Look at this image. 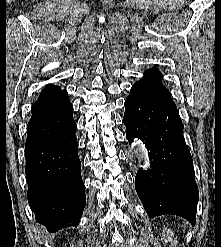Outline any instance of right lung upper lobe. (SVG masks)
I'll return each mask as SVG.
<instances>
[{"mask_svg":"<svg viewBox=\"0 0 221 247\" xmlns=\"http://www.w3.org/2000/svg\"><path fill=\"white\" fill-rule=\"evenodd\" d=\"M61 90L60 86H55V85H47L40 93L39 98H42L44 96H47L49 94L55 93L57 91Z\"/></svg>","mask_w":221,"mask_h":247,"instance_id":"obj_1","label":"right lung upper lobe"}]
</instances>
